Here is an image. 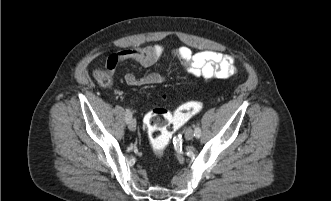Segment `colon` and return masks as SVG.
<instances>
[{"mask_svg":"<svg viewBox=\"0 0 331 201\" xmlns=\"http://www.w3.org/2000/svg\"><path fill=\"white\" fill-rule=\"evenodd\" d=\"M96 79L104 87L111 83V76L107 71H98ZM200 108L199 102L190 101L180 106L173 114L163 108L150 111L145 116V126L153 151L157 155L163 154L176 129L196 114Z\"/></svg>","mask_w":331,"mask_h":201,"instance_id":"colon-1","label":"colon"}]
</instances>
